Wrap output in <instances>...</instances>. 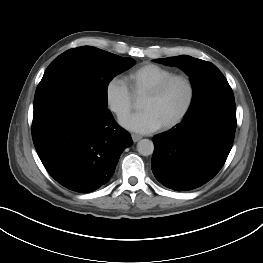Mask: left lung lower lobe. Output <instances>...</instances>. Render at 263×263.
I'll use <instances>...</instances> for the list:
<instances>
[{"label": "left lung lower lobe", "instance_id": "left-lung-lower-lobe-1", "mask_svg": "<svg viewBox=\"0 0 263 263\" xmlns=\"http://www.w3.org/2000/svg\"><path fill=\"white\" fill-rule=\"evenodd\" d=\"M235 130V101H215L186 115L177 127L153 137L154 176L175 191L202 186L223 167Z\"/></svg>", "mask_w": 263, "mask_h": 263}]
</instances>
